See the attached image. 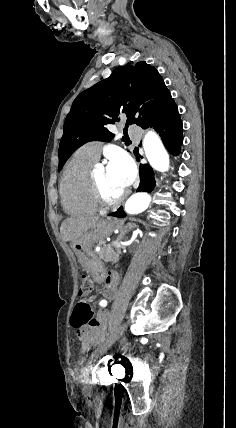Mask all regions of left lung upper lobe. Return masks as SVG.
<instances>
[{
	"label": "left lung upper lobe",
	"instance_id": "obj_1",
	"mask_svg": "<svg viewBox=\"0 0 236 428\" xmlns=\"http://www.w3.org/2000/svg\"><path fill=\"white\" fill-rule=\"evenodd\" d=\"M173 98L158 71L146 62L116 68L109 78L80 93L64 123L59 144L60 171L71 154L90 141L109 142L107 126L126 114L129 124L142 127L158 115ZM125 141V137H123Z\"/></svg>",
	"mask_w": 236,
	"mask_h": 428
}]
</instances>
